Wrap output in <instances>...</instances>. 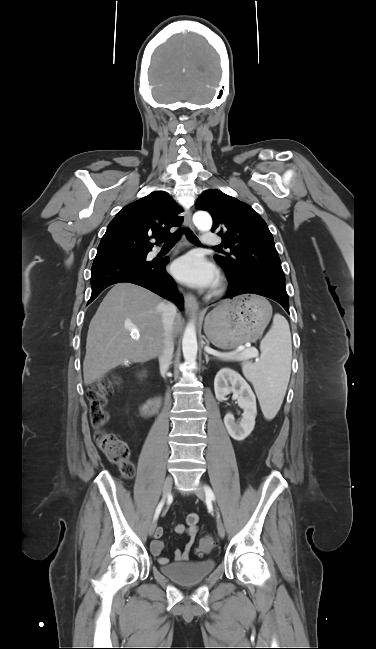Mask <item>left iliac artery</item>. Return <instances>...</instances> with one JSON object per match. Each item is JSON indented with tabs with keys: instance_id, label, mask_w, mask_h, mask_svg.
Segmentation results:
<instances>
[{
	"instance_id": "1",
	"label": "left iliac artery",
	"mask_w": 376,
	"mask_h": 649,
	"mask_svg": "<svg viewBox=\"0 0 376 649\" xmlns=\"http://www.w3.org/2000/svg\"><path fill=\"white\" fill-rule=\"evenodd\" d=\"M206 497L211 500H215L213 491L209 487H205Z\"/></svg>"
}]
</instances>
